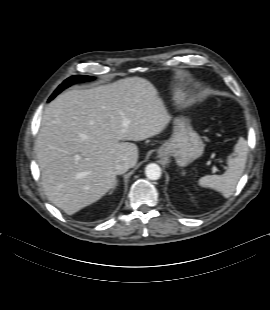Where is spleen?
<instances>
[{"label":"spleen","instance_id":"spleen-1","mask_svg":"<svg viewBox=\"0 0 270 310\" xmlns=\"http://www.w3.org/2000/svg\"><path fill=\"white\" fill-rule=\"evenodd\" d=\"M234 152L235 156L230 155L227 159L228 168L224 174L203 176L198 181L199 186L214 189L225 198L233 195L247 160L246 142L243 138L238 140Z\"/></svg>","mask_w":270,"mask_h":310}]
</instances>
